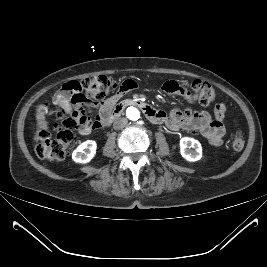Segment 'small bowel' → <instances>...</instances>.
Returning <instances> with one entry per match:
<instances>
[{
    "label": "small bowel",
    "instance_id": "1",
    "mask_svg": "<svg viewBox=\"0 0 267 267\" xmlns=\"http://www.w3.org/2000/svg\"><path fill=\"white\" fill-rule=\"evenodd\" d=\"M137 87L138 83L135 80H125L115 94L102 104L96 105L90 100L81 97V88L78 81H70L55 93L53 100L66 114L88 121L79 127L81 135H88L93 129L103 125L108 113L123 94ZM161 89L168 95H179L189 103L194 102L190 89L177 81L168 80L163 83ZM94 108L98 109V115L92 120L89 113ZM164 115L165 123L170 130L178 131L184 129L191 131L199 134L214 146H220L227 134V128L224 124L225 106L222 103L216 105L213 115L205 110L194 112L189 108L185 110L174 108L168 115Z\"/></svg>",
    "mask_w": 267,
    "mask_h": 267
}]
</instances>
